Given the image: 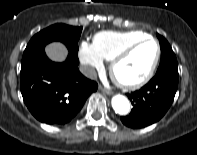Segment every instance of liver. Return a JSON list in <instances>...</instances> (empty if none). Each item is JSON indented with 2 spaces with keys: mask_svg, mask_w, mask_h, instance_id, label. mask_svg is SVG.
Masks as SVG:
<instances>
[{
  "mask_svg": "<svg viewBox=\"0 0 197 155\" xmlns=\"http://www.w3.org/2000/svg\"><path fill=\"white\" fill-rule=\"evenodd\" d=\"M48 57L54 61H63L67 55L65 46L59 42H52L45 48Z\"/></svg>",
  "mask_w": 197,
  "mask_h": 155,
  "instance_id": "1",
  "label": "liver"
}]
</instances>
